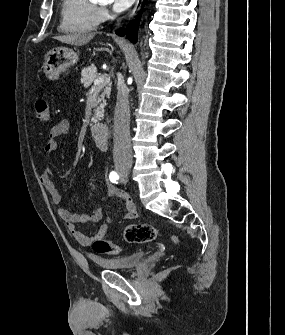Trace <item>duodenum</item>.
Returning a JSON list of instances; mask_svg holds the SVG:
<instances>
[{
    "instance_id": "obj_1",
    "label": "duodenum",
    "mask_w": 285,
    "mask_h": 335,
    "mask_svg": "<svg viewBox=\"0 0 285 335\" xmlns=\"http://www.w3.org/2000/svg\"><path fill=\"white\" fill-rule=\"evenodd\" d=\"M91 135L96 145L103 151L109 147V130L101 123H94L91 126Z\"/></svg>"
}]
</instances>
